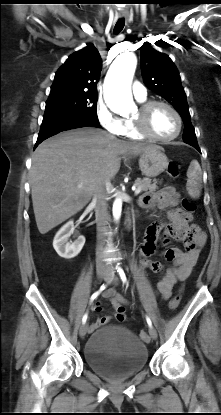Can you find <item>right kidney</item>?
<instances>
[{
  "instance_id": "obj_1",
  "label": "right kidney",
  "mask_w": 221,
  "mask_h": 415,
  "mask_svg": "<svg viewBox=\"0 0 221 415\" xmlns=\"http://www.w3.org/2000/svg\"><path fill=\"white\" fill-rule=\"evenodd\" d=\"M74 231L73 221L67 222L55 235L53 247L60 257L71 259L77 256L85 244V237L79 236L72 243L68 242L69 237Z\"/></svg>"
}]
</instances>
